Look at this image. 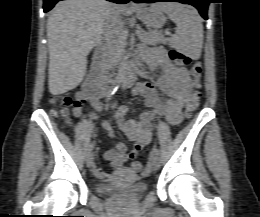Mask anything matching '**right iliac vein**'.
Segmentation results:
<instances>
[{"instance_id": "right-iliac-vein-1", "label": "right iliac vein", "mask_w": 260, "mask_h": 217, "mask_svg": "<svg viewBox=\"0 0 260 217\" xmlns=\"http://www.w3.org/2000/svg\"><path fill=\"white\" fill-rule=\"evenodd\" d=\"M94 157L92 153H89L86 157V165L87 167H91L93 165Z\"/></svg>"}]
</instances>
